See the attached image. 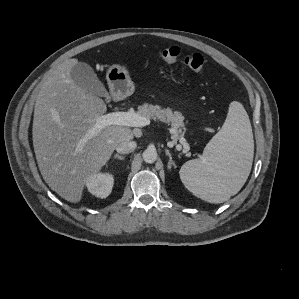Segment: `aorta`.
<instances>
[{
  "mask_svg": "<svg viewBox=\"0 0 299 299\" xmlns=\"http://www.w3.org/2000/svg\"><path fill=\"white\" fill-rule=\"evenodd\" d=\"M143 160L146 163H154L157 160L158 154L155 148H147L142 154Z\"/></svg>",
  "mask_w": 299,
  "mask_h": 299,
  "instance_id": "1",
  "label": "aorta"
}]
</instances>
